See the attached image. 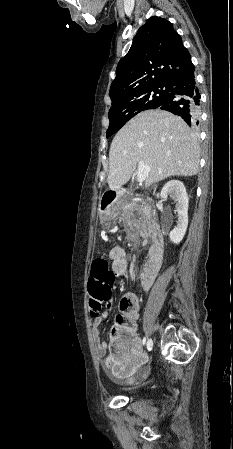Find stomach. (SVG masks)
Here are the masks:
<instances>
[{"label":"stomach","instance_id":"stomach-1","mask_svg":"<svg viewBox=\"0 0 233 449\" xmlns=\"http://www.w3.org/2000/svg\"><path fill=\"white\" fill-rule=\"evenodd\" d=\"M121 206L118 202L115 203V206H109L108 209L104 210L100 208V215L103 220H113L120 215Z\"/></svg>","mask_w":233,"mask_h":449}]
</instances>
